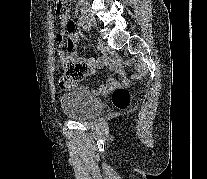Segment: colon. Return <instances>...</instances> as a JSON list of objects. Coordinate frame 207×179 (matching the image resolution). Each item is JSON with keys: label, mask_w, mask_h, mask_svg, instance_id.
I'll return each instance as SVG.
<instances>
[{"label": "colon", "mask_w": 207, "mask_h": 179, "mask_svg": "<svg viewBox=\"0 0 207 179\" xmlns=\"http://www.w3.org/2000/svg\"><path fill=\"white\" fill-rule=\"evenodd\" d=\"M70 11L68 0H56L55 12L64 17ZM60 50L57 56V70L62 84H71L80 81L90 71L88 64L73 60L63 47V40H58ZM68 47V44H67ZM112 104L119 110H124L130 102V94L124 88H116L111 94Z\"/></svg>", "instance_id": "obj_1"}]
</instances>
